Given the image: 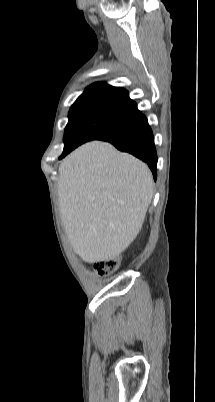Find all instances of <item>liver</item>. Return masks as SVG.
Wrapping results in <instances>:
<instances>
[{
    "mask_svg": "<svg viewBox=\"0 0 215 402\" xmlns=\"http://www.w3.org/2000/svg\"><path fill=\"white\" fill-rule=\"evenodd\" d=\"M154 194L148 166L113 145L88 142L60 164L59 212L85 262L113 260L136 238Z\"/></svg>",
    "mask_w": 215,
    "mask_h": 402,
    "instance_id": "6515ba94",
    "label": "liver"
}]
</instances>
